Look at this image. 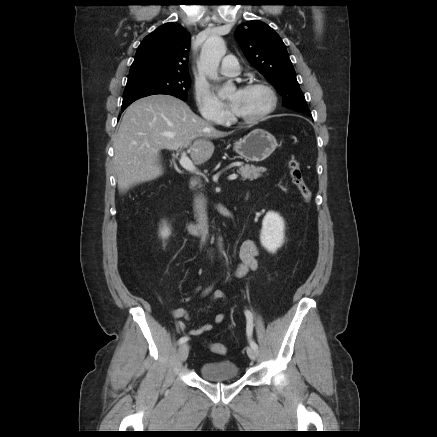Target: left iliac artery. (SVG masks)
<instances>
[{
  "mask_svg": "<svg viewBox=\"0 0 437 437\" xmlns=\"http://www.w3.org/2000/svg\"><path fill=\"white\" fill-rule=\"evenodd\" d=\"M245 316H246V319H247L246 332H247V336H248V339H249L250 346L257 350L258 349V345L252 339V332H253V316H252V313L249 310H246L245 311Z\"/></svg>",
  "mask_w": 437,
  "mask_h": 437,
  "instance_id": "44dca946",
  "label": "left iliac artery"
}]
</instances>
